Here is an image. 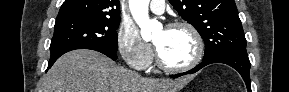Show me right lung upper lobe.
Returning a JSON list of instances; mask_svg holds the SVG:
<instances>
[{
  "mask_svg": "<svg viewBox=\"0 0 289 92\" xmlns=\"http://www.w3.org/2000/svg\"><path fill=\"white\" fill-rule=\"evenodd\" d=\"M76 17L120 19L119 0H65L56 20Z\"/></svg>",
  "mask_w": 289,
  "mask_h": 92,
  "instance_id": "cb5924a9",
  "label": "right lung upper lobe"
}]
</instances>
